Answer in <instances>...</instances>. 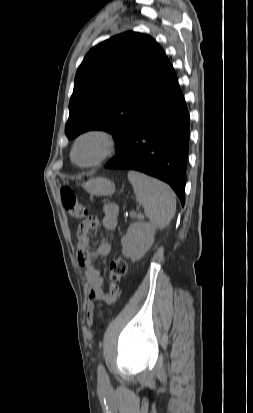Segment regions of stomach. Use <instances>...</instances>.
Wrapping results in <instances>:
<instances>
[{
  "label": "stomach",
  "mask_w": 253,
  "mask_h": 413,
  "mask_svg": "<svg viewBox=\"0 0 253 413\" xmlns=\"http://www.w3.org/2000/svg\"><path fill=\"white\" fill-rule=\"evenodd\" d=\"M83 188L91 195L95 196H108L112 195L115 191V185L112 181L97 177L91 178L83 184Z\"/></svg>",
  "instance_id": "0dacf381"
}]
</instances>
